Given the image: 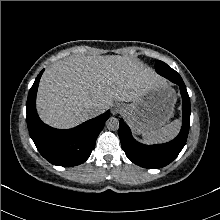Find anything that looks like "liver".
Returning <instances> with one entry per match:
<instances>
[{"label": "liver", "mask_w": 220, "mask_h": 220, "mask_svg": "<svg viewBox=\"0 0 220 220\" xmlns=\"http://www.w3.org/2000/svg\"><path fill=\"white\" fill-rule=\"evenodd\" d=\"M161 81L151 68L128 56L75 55L45 70L37 111L46 124L68 129L91 118L89 106H99L103 113L114 101H135Z\"/></svg>", "instance_id": "obj_1"}]
</instances>
